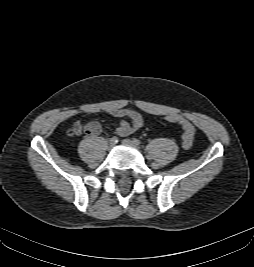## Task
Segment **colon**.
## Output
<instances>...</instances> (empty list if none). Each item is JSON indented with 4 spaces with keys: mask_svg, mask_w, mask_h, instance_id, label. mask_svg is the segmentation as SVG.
Returning <instances> with one entry per match:
<instances>
[{
    "mask_svg": "<svg viewBox=\"0 0 254 267\" xmlns=\"http://www.w3.org/2000/svg\"><path fill=\"white\" fill-rule=\"evenodd\" d=\"M166 120L170 123L179 124L182 127V145L186 149L191 148L193 146L195 135V127L193 124L179 114H169L166 116ZM79 133L80 131L78 129L73 128L71 130L72 135H77Z\"/></svg>",
    "mask_w": 254,
    "mask_h": 267,
    "instance_id": "1",
    "label": "colon"
}]
</instances>
